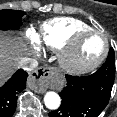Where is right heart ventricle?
<instances>
[{
  "label": "right heart ventricle",
  "instance_id": "1",
  "mask_svg": "<svg viewBox=\"0 0 117 117\" xmlns=\"http://www.w3.org/2000/svg\"><path fill=\"white\" fill-rule=\"evenodd\" d=\"M91 29V27L75 18L60 17L44 22L35 33L36 41L49 49H61L67 40L76 32Z\"/></svg>",
  "mask_w": 117,
  "mask_h": 117
}]
</instances>
